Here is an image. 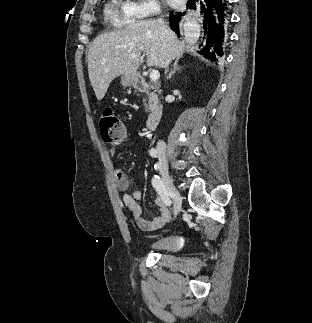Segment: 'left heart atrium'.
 Instances as JSON below:
<instances>
[{"instance_id": "obj_1", "label": "left heart atrium", "mask_w": 312, "mask_h": 323, "mask_svg": "<svg viewBox=\"0 0 312 323\" xmlns=\"http://www.w3.org/2000/svg\"><path fill=\"white\" fill-rule=\"evenodd\" d=\"M168 2H169V3H172V2H173V3H176V2H177V0H168Z\"/></svg>"}]
</instances>
